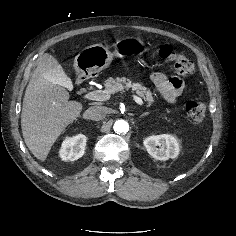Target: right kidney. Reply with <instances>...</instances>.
Instances as JSON below:
<instances>
[{
  "label": "right kidney",
  "instance_id": "right-kidney-1",
  "mask_svg": "<svg viewBox=\"0 0 236 236\" xmlns=\"http://www.w3.org/2000/svg\"><path fill=\"white\" fill-rule=\"evenodd\" d=\"M86 136L78 134L74 137H67L61 145L59 155L63 161H75L85 153Z\"/></svg>",
  "mask_w": 236,
  "mask_h": 236
}]
</instances>
